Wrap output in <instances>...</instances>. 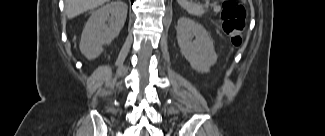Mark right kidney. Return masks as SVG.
I'll list each match as a JSON object with an SVG mask.
<instances>
[{
	"label": "right kidney",
	"instance_id": "1",
	"mask_svg": "<svg viewBox=\"0 0 325 136\" xmlns=\"http://www.w3.org/2000/svg\"><path fill=\"white\" fill-rule=\"evenodd\" d=\"M127 8L122 0H115L91 14L79 44L81 53L87 59L98 57L103 52V45L110 44L119 35L126 20Z\"/></svg>",
	"mask_w": 325,
	"mask_h": 136
}]
</instances>
